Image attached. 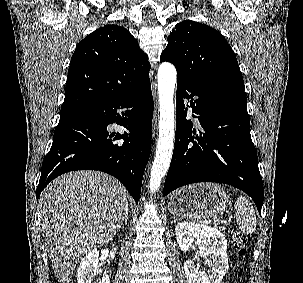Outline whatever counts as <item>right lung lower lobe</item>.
<instances>
[{"label":"right lung lower lobe","instance_id":"obj_1","mask_svg":"<svg viewBox=\"0 0 303 283\" xmlns=\"http://www.w3.org/2000/svg\"><path fill=\"white\" fill-rule=\"evenodd\" d=\"M153 97L150 81L124 96L60 116L41 169L36 196L54 178L75 170H99L116 177L138 203L151 151ZM116 122L124 134L108 126Z\"/></svg>","mask_w":303,"mask_h":283}]
</instances>
